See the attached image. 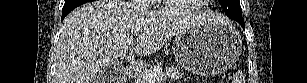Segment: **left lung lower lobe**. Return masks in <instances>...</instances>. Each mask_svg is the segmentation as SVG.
<instances>
[{
    "instance_id": "left-lung-lower-lobe-1",
    "label": "left lung lower lobe",
    "mask_w": 307,
    "mask_h": 83,
    "mask_svg": "<svg viewBox=\"0 0 307 83\" xmlns=\"http://www.w3.org/2000/svg\"><path fill=\"white\" fill-rule=\"evenodd\" d=\"M238 23L242 26V28L244 29V21H238Z\"/></svg>"
}]
</instances>
